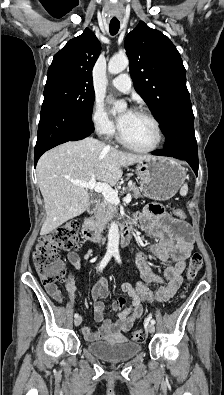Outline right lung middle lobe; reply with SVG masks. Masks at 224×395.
Instances as JSON below:
<instances>
[{"label":"right lung middle lobe","mask_w":224,"mask_h":395,"mask_svg":"<svg viewBox=\"0 0 224 395\" xmlns=\"http://www.w3.org/2000/svg\"><path fill=\"white\" fill-rule=\"evenodd\" d=\"M95 92L92 85L63 76L47 77L44 102H52L91 117Z\"/></svg>","instance_id":"dd1d6c3e"}]
</instances>
